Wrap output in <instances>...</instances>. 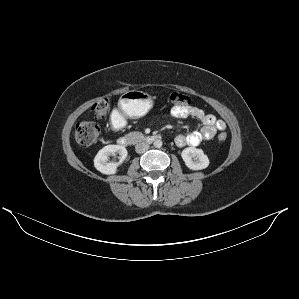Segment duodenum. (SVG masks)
I'll return each mask as SVG.
<instances>
[{
    "mask_svg": "<svg viewBox=\"0 0 299 299\" xmlns=\"http://www.w3.org/2000/svg\"><path fill=\"white\" fill-rule=\"evenodd\" d=\"M159 139H160V136H158V135H150V136H147L144 140L147 143H153ZM118 143L121 146H129L131 144V138L127 137V136H122L118 139Z\"/></svg>",
    "mask_w": 299,
    "mask_h": 299,
    "instance_id": "1",
    "label": "duodenum"
}]
</instances>
